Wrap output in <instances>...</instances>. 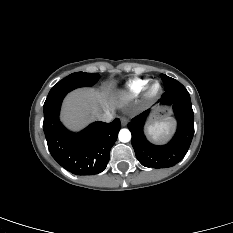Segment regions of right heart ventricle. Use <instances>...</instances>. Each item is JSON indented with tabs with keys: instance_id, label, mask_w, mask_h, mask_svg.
<instances>
[{
	"instance_id": "e07e8e85",
	"label": "right heart ventricle",
	"mask_w": 233,
	"mask_h": 233,
	"mask_svg": "<svg viewBox=\"0 0 233 233\" xmlns=\"http://www.w3.org/2000/svg\"><path fill=\"white\" fill-rule=\"evenodd\" d=\"M148 82V79H136L128 85V92L133 96H137L145 89Z\"/></svg>"
}]
</instances>
